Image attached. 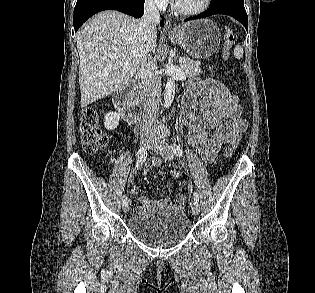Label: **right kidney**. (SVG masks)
Here are the masks:
<instances>
[{
  "label": "right kidney",
  "mask_w": 315,
  "mask_h": 293,
  "mask_svg": "<svg viewBox=\"0 0 315 293\" xmlns=\"http://www.w3.org/2000/svg\"><path fill=\"white\" fill-rule=\"evenodd\" d=\"M120 114L116 112H109L105 115L104 126L107 130H114L119 125Z\"/></svg>",
  "instance_id": "1"
}]
</instances>
